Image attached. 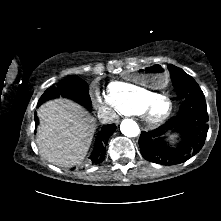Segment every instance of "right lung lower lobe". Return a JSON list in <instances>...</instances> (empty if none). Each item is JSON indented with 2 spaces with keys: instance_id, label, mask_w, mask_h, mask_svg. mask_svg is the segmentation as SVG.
Here are the masks:
<instances>
[{
  "instance_id": "1",
  "label": "right lung lower lobe",
  "mask_w": 221,
  "mask_h": 221,
  "mask_svg": "<svg viewBox=\"0 0 221 221\" xmlns=\"http://www.w3.org/2000/svg\"><path fill=\"white\" fill-rule=\"evenodd\" d=\"M90 105L88 106V108L90 107ZM34 117L35 125H37L39 121L36 114L34 115ZM115 130L116 126L114 124L104 125L102 127L101 131L98 133L94 151L90 156V162L92 164H99L104 160L107 142Z\"/></svg>"
}]
</instances>
